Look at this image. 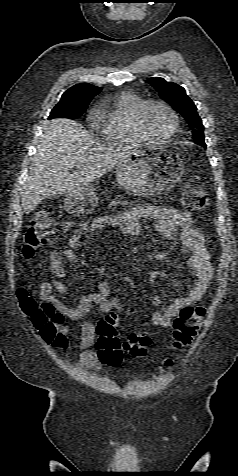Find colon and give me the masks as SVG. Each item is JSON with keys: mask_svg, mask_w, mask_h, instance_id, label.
Here are the masks:
<instances>
[{"mask_svg": "<svg viewBox=\"0 0 238 476\" xmlns=\"http://www.w3.org/2000/svg\"><path fill=\"white\" fill-rule=\"evenodd\" d=\"M182 205L192 211H200L209 206V198L204 190L194 182L186 183L182 195ZM55 232V223L46 213L40 212L34 216L25 234L23 255L34 257L44 248ZM22 297V309L31 316L34 327L39 331L46 343L53 347L64 348L67 345L65 331L61 326L62 317L45 303L37 304L32 298ZM206 310L202 306L183 308L173 321V346L183 349L191 345L198 332L204 327ZM119 313L110 312L98 326L96 349L102 364L117 367L121 364L123 353L132 356H143L151 345L150 337L144 332L132 333L123 342L117 336L115 324ZM173 364L172 358H167L164 367Z\"/></svg>", "mask_w": 238, "mask_h": 476, "instance_id": "colon-1", "label": "colon"}]
</instances>
